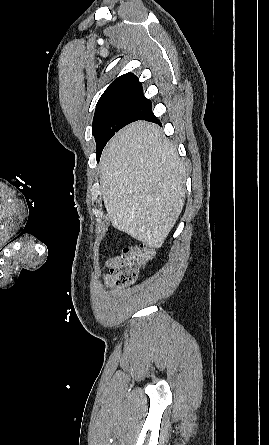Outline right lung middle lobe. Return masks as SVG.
<instances>
[{
	"mask_svg": "<svg viewBox=\"0 0 269 445\" xmlns=\"http://www.w3.org/2000/svg\"><path fill=\"white\" fill-rule=\"evenodd\" d=\"M150 107L151 101L144 96L142 88L115 91L100 97L92 124L98 161L115 132L139 120Z\"/></svg>",
	"mask_w": 269,
	"mask_h": 445,
	"instance_id": "dd1d6c3e",
	"label": "right lung middle lobe"
}]
</instances>
